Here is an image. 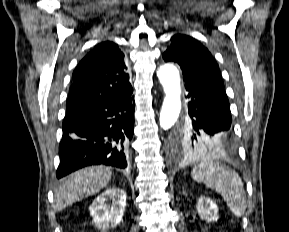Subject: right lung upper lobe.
I'll return each mask as SVG.
<instances>
[{"label":"right lung upper lobe","instance_id":"1","mask_svg":"<svg viewBox=\"0 0 289 232\" xmlns=\"http://www.w3.org/2000/svg\"><path fill=\"white\" fill-rule=\"evenodd\" d=\"M124 54L113 42H102L88 53L73 73L67 111L119 98L132 90Z\"/></svg>","mask_w":289,"mask_h":232}]
</instances>
